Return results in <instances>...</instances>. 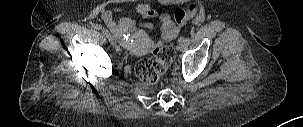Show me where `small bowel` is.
<instances>
[{
	"label": "small bowel",
	"mask_w": 303,
	"mask_h": 127,
	"mask_svg": "<svg viewBox=\"0 0 303 127\" xmlns=\"http://www.w3.org/2000/svg\"><path fill=\"white\" fill-rule=\"evenodd\" d=\"M121 10L122 8L117 5L108 7L102 11L101 19L120 42L135 53H146L159 43L170 41L176 35V26L168 15L160 16L158 35L150 37L146 30H155L152 23H139L130 17V13L116 19L114 13ZM133 12L144 19H154L158 16L157 11L149 3L139 4Z\"/></svg>",
	"instance_id": "small-bowel-1"
}]
</instances>
